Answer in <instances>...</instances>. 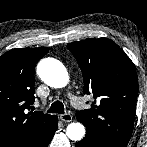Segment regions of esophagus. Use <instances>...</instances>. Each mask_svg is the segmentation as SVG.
<instances>
[{
    "label": "esophagus",
    "mask_w": 147,
    "mask_h": 147,
    "mask_svg": "<svg viewBox=\"0 0 147 147\" xmlns=\"http://www.w3.org/2000/svg\"><path fill=\"white\" fill-rule=\"evenodd\" d=\"M60 119L64 122H71L73 120V117L70 113H65L60 115Z\"/></svg>",
    "instance_id": "1"
}]
</instances>
